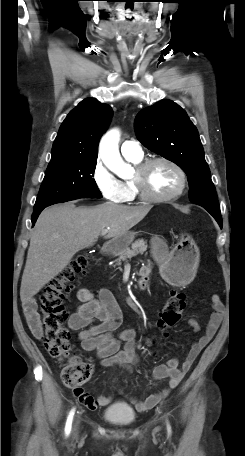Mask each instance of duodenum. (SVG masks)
Masks as SVG:
<instances>
[{"label":"duodenum","instance_id":"duodenum-1","mask_svg":"<svg viewBox=\"0 0 245 456\" xmlns=\"http://www.w3.org/2000/svg\"><path fill=\"white\" fill-rule=\"evenodd\" d=\"M116 247H117V243L115 241L108 242L103 250V254L110 255L115 250Z\"/></svg>","mask_w":245,"mask_h":456}]
</instances>
